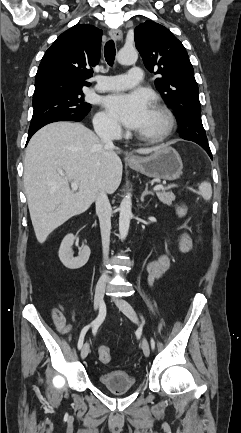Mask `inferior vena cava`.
Wrapping results in <instances>:
<instances>
[{
	"label": "inferior vena cava",
	"mask_w": 241,
	"mask_h": 433,
	"mask_svg": "<svg viewBox=\"0 0 241 433\" xmlns=\"http://www.w3.org/2000/svg\"><path fill=\"white\" fill-rule=\"evenodd\" d=\"M95 132L100 137L102 143L107 147H113V138L119 132L117 128H105L102 126H96ZM96 212L99 217L101 238H102V249L104 262L108 259L109 244H110V232H111V214L112 209L109 203V199L104 190H100L96 197ZM107 272H103L101 280H108Z\"/></svg>",
	"instance_id": "1"
}]
</instances>
